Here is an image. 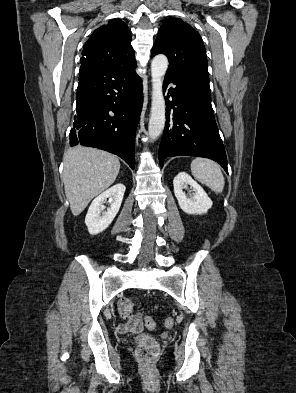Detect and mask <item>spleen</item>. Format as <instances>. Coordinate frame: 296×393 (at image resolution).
<instances>
[{
  "instance_id": "3e777b00",
  "label": "spleen",
  "mask_w": 296,
  "mask_h": 393,
  "mask_svg": "<svg viewBox=\"0 0 296 393\" xmlns=\"http://www.w3.org/2000/svg\"><path fill=\"white\" fill-rule=\"evenodd\" d=\"M191 172L195 179L207 185L212 191L216 193L223 191L224 176L216 162L205 158H195L191 162Z\"/></svg>"
}]
</instances>
